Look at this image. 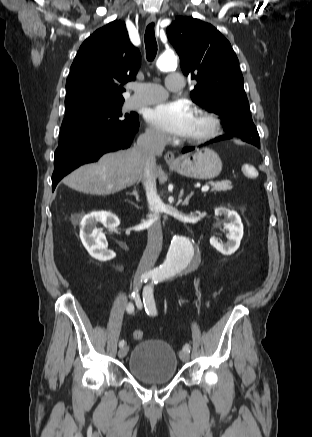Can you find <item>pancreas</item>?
Segmentation results:
<instances>
[{"label": "pancreas", "mask_w": 312, "mask_h": 437, "mask_svg": "<svg viewBox=\"0 0 312 437\" xmlns=\"http://www.w3.org/2000/svg\"><path fill=\"white\" fill-rule=\"evenodd\" d=\"M212 191L216 192V191H228L232 189L231 183L228 181H222V182H217V183H212Z\"/></svg>", "instance_id": "cf45deb5"}]
</instances>
